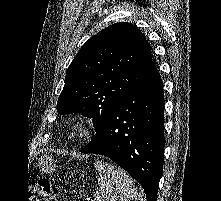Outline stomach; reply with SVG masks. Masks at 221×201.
<instances>
[{
  "mask_svg": "<svg viewBox=\"0 0 221 201\" xmlns=\"http://www.w3.org/2000/svg\"><path fill=\"white\" fill-rule=\"evenodd\" d=\"M39 166L44 172H53L56 168V162L49 156H43L39 161Z\"/></svg>",
  "mask_w": 221,
  "mask_h": 201,
  "instance_id": "obj_1",
  "label": "stomach"
}]
</instances>
